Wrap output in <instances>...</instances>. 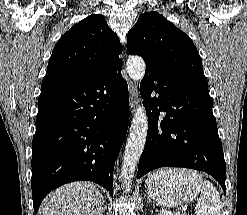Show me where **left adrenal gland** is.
Returning <instances> with one entry per match:
<instances>
[{
    "label": "left adrenal gland",
    "instance_id": "a2214340",
    "mask_svg": "<svg viewBox=\"0 0 247 215\" xmlns=\"http://www.w3.org/2000/svg\"><path fill=\"white\" fill-rule=\"evenodd\" d=\"M148 202H151L149 198H147Z\"/></svg>",
    "mask_w": 247,
    "mask_h": 215
}]
</instances>
